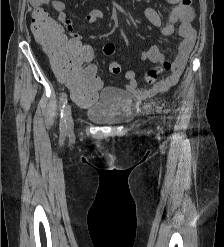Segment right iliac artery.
I'll use <instances>...</instances> for the list:
<instances>
[{
  "instance_id": "82829eb1",
  "label": "right iliac artery",
  "mask_w": 224,
  "mask_h": 247,
  "mask_svg": "<svg viewBox=\"0 0 224 247\" xmlns=\"http://www.w3.org/2000/svg\"><path fill=\"white\" fill-rule=\"evenodd\" d=\"M67 103V95L66 93H63L61 98H60V102H59V107H60V134L62 136L65 135L66 132V119H65V105Z\"/></svg>"
}]
</instances>
